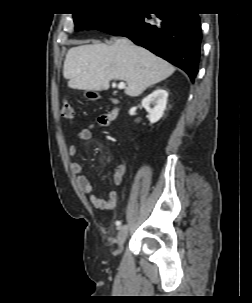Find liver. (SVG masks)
Wrapping results in <instances>:
<instances>
[{
    "instance_id": "6515ba94",
    "label": "liver",
    "mask_w": 252,
    "mask_h": 303,
    "mask_svg": "<svg viewBox=\"0 0 252 303\" xmlns=\"http://www.w3.org/2000/svg\"><path fill=\"white\" fill-rule=\"evenodd\" d=\"M174 71L173 65L126 38L115 39L111 45L95 42L73 47L63 66V76L72 89L107 90L111 80H123L127 83L125 93L131 97Z\"/></svg>"
}]
</instances>
